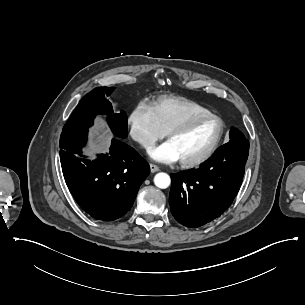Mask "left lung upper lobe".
<instances>
[{"label": "left lung upper lobe", "instance_id": "5c2ea615", "mask_svg": "<svg viewBox=\"0 0 305 305\" xmlns=\"http://www.w3.org/2000/svg\"><path fill=\"white\" fill-rule=\"evenodd\" d=\"M230 141L228 143L241 142L246 140L245 136L236 128L232 127L229 133Z\"/></svg>", "mask_w": 305, "mask_h": 305}]
</instances>
